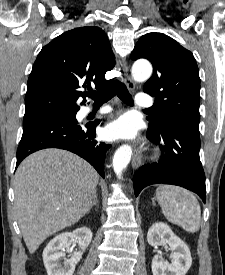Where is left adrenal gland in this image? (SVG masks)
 <instances>
[{
  "instance_id": "left-adrenal-gland-1",
  "label": "left adrenal gland",
  "mask_w": 225,
  "mask_h": 275,
  "mask_svg": "<svg viewBox=\"0 0 225 275\" xmlns=\"http://www.w3.org/2000/svg\"><path fill=\"white\" fill-rule=\"evenodd\" d=\"M153 205H155V201L153 200Z\"/></svg>"
}]
</instances>
